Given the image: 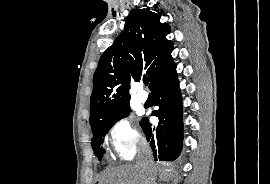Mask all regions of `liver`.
<instances>
[{
    "label": "liver",
    "instance_id": "liver-1",
    "mask_svg": "<svg viewBox=\"0 0 270 184\" xmlns=\"http://www.w3.org/2000/svg\"><path fill=\"white\" fill-rule=\"evenodd\" d=\"M159 171V178L168 181L171 177L169 170L156 167L145 169L139 164L123 165L108 169L99 180V184H150L153 175Z\"/></svg>",
    "mask_w": 270,
    "mask_h": 184
}]
</instances>
